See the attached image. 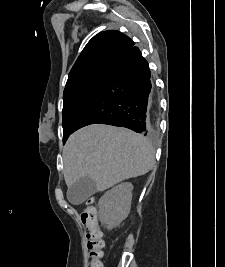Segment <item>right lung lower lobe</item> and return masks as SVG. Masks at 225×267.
<instances>
[{
    "mask_svg": "<svg viewBox=\"0 0 225 267\" xmlns=\"http://www.w3.org/2000/svg\"><path fill=\"white\" fill-rule=\"evenodd\" d=\"M151 88L148 62L138 47L127 49L115 60L84 105L72 131L100 123L147 134Z\"/></svg>",
    "mask_w": 225,
    "mask_h": 267,
    "instance_id": "1",
    "label": "right lung lower lobe"
}]
</instances>
